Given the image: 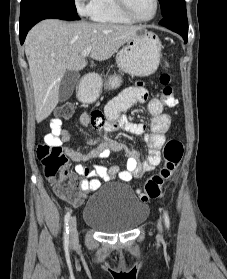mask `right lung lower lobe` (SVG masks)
Wrapping results in <instances>:
<instances>
[{"label": "right lung lower lobe", "instance_id": "obj_1", "mask_svg": "<svg viewBox=\"0 0 227 279\" xmlns=\"http://www.w3.org/2000/svg\"><path fill=\"white\" fill-rule=\"evenodd\" d=\"M56 18L78 20L77 11H73L54 0H34L20 11L19 37L23 44L28 31L39 21Z\"/></svg>", "mask_w": 227, "mask_h": 279}]
</instances>
